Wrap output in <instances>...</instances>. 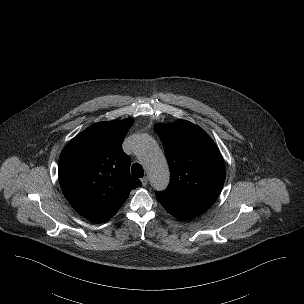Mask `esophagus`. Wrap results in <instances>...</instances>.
<instances>
[{"label":"esophagus","instance_id":"esophagus-1","mask_svg":"<svg viewBox=\"0 0 304 304\" xmlns=\"http://www.w3.org/2000/svg\"><path fill=\"white\" fill-rule=\"evenodd\" d=\"M141 183L143 186H146L148 184V177L147 176H144L142 179H141Z\"/></svg>","mask_w":304,"mask_h":304}]
</instances>
